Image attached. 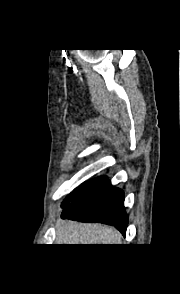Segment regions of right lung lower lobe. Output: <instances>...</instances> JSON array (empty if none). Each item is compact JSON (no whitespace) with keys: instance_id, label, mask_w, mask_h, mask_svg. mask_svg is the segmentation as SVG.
<instances>
[{"instance_id":"right-lung-lower-lobe-1","label":"right lung lower lobe","mask_w":180,"mask_h":294,"mask_svg":"<svg viewBox=\"0 0 180 294\" xmlns=\"http://www.w3.org/2000/svg\"><path fill=\"white\" fill-rule=\"evenodd\" d=\"M62 208V218L113 225L125 236L128 216L124 208V193L112 187L105 176L82 184L67 196Z\"/></svg>"}]
</instances>
